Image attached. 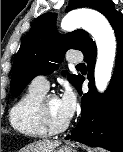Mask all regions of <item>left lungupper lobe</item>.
<instances>
[{"mask_svg":"<svg viewBox=\"0 0 123 152\" xmlns=\"http://www.w3.org/2000/svg\"><path fill=\"white\" fill-rule=\"evenodd\" d=\"M89 7L98 10L106 17L114 9L108 0H70L66 11ZM56 14L39 16L24 38L16 55L11 79V94L19 96L28 83L38 75L50 74L58 68L68 49L82 52L93 42L86 31L79 29L66 35H59L55 26ZM65 74V72H63ZM80 75L68 74V80L76 87Z\"/></svg>","mask_w":123,"mask_h":152,"instance_id":"5c2ea615","label":"left lung upper lobe"}]
</instances>
